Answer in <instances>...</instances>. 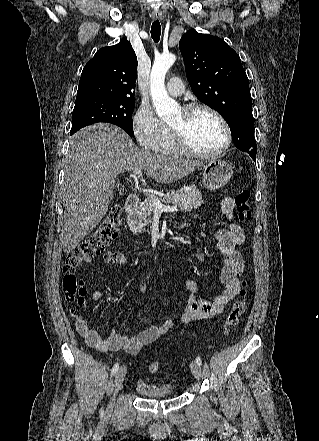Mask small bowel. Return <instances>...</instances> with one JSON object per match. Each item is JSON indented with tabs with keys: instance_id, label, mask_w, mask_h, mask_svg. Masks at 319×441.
<instances>
[{
	"instance_id": "c3829d8e",
	"label": "small bowel",
	"mask_w": 319,
	"mask_h": 441,
	"mask_svg": "<svg viewBox=\"0 0 319 441\" xmlns=\"http://www.w3.org/2000/svg\"><path fill=\"white\" fill-rule=\"evenodd\" d=\"M234 200L225 197L221 202V211L227 227L216 232L217 248L222 257L223 267L220 280L224 284L223 291L212 300L203 299L197 296L198 287L194 281H188L186 288L190 292L184 313L179 321L189 323L192 321L209 320L220 315L225 307L236 299L240 291V276L244 269V260L239 247L245 240V233L242 227L234 220ZM197 258L203 260L200 251ZM103 259L109 264L126 266L127 258L120 252L108 251ZM95 301H100L103 294L95 289L92 292ZM174 325L173 320H167L161 325H152L134 336L129 335V329L124 333L112 331L107 338L92 329L86 320L79 314L76 315V328L79 334L91 347L99 351H124L130 354H138L143 347L156 341L167 333Z\"/></svg>"
}]
</instances>
